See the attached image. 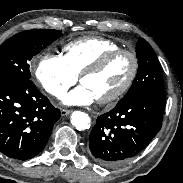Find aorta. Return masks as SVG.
Instances as JSON below:
<instances>
[{"label":"aorta","instance_id":"1","mask_svg":"<svg viewBox=\"0 0 183 183\" xmlns=\"http://www.w3.org/2000/svg\"><path fill=\"white\" fill-rule=\"evenodd\" d=\"M90 122V117L85 112L74 111L71 115V124L79 131L88 129Z\"/></svg>","mask_w":183,"mask_h":183}]
</instances>
